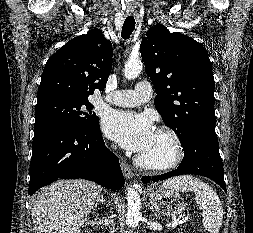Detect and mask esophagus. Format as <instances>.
<instances>
[{
  "mask_svg": "<svg viewBox=\"0 0 253 233\" xmlns=\"http://www.w3.org/2000/svg\"><path fill=\"white\" fill-rule=\"evenodd\" d=\"M133 14H135L133 11H126V15H133ZM120 164H121V169L125 178L132 179L134 176V173L123 158L120 159Z\"/></svg>",
  "mask_w": 253,
  "mask_h": 233,
  "instance_id": "esophagus-1",
  "label": "esophagus"
}]
</instances>
